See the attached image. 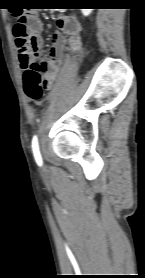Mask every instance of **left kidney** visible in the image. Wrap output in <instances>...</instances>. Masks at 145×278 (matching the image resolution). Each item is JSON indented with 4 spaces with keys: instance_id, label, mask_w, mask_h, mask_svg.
I'll return each instance as SVG.
<instances>
[{
    "instance_id": "5707ae66",
    "label": "left kidney",
    "mask_w": 145,
    "mask_h": 278,
    "mask_svg": "<svg viewBox=\"0 0 145 278\" xmlns=\"http://www.w3.org/2000/svg\"><path fill=\"white\" fill-rule=\"evenodd\" d=\"M92 10H93V9H81L82 14H83L84 16L90 15L91 12H92Z\"/></svg>"
}]
</instances>
